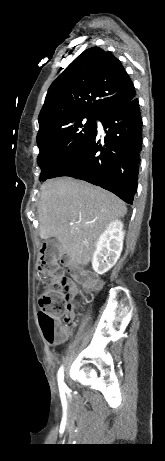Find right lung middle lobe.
I'll return each mask as SVG.
<instances>
[{
	"mask_svg": "<svg viewBox=\"0 0 165 461\" xmlns=\"http://www.w3.org/2000/svg\"><path fill=\"white\" fill-rule=\"evenodd\" d=\"M87 118L84 123L83 119ZM96 117L79 116L48 128L37 137L40 149L38 165L40 181H45L91 137L97 128Z\"/></svg>",
	"mask_w": 165,
	"mask_h": 461,
	"instance_id": "dd1d6c3e",
	"label": "right lung middle lobe"
}]
</instances>
